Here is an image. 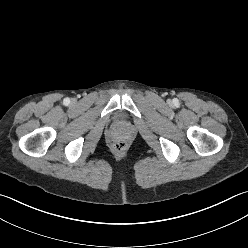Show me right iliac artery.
<instances>
[{
    "mask_svg": "<svg viewBox=\"0 0 248 248\" xmlns=\"http://www.w3.org/2000/svg\"><path fill=\"white\" fill-rule=\"evenodd\" d=\"M69 102H70L69 98H65V99H64V103H65V104H69Z\"/></svg>",
    "mask_w": 248,
    "mask_h": 248,
    "instance_id": "82829eb1",
    "label": "right iliac artery"
}]
</instances>
